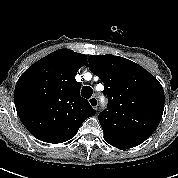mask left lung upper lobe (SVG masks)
Returning <instances> with one entry per match:
<instances>
[{"label":"left lung upper lobe","instance_id":"5c2ea615","mask_svg":"<svg viewBox=\"0 0 178 178\" xmlns=\"http://www.w3.org/2000/svg\"><path fill=\"white\" fill-rule=\"evenodd\" d=\"M89 69L102 80L108 97V111L98 117L105 140L123 149L144 142L164 110L159 81L137 63L111 54L90 55Z\"/></svg>","mask_w":178,"mask_h":178}]
</instances>
